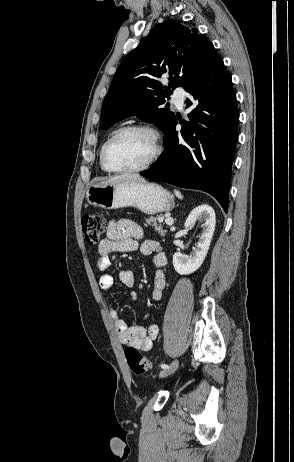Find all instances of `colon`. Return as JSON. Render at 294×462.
Segmentation results:
<instances>
[{
  "mask_svg": "<svg viewBox=\"0 0 294 462\" xmlns=\"http://www.w3.org/2000/svg\"><path fill=\"white\" fill-rule=\"evenodd\" d=\"M106 220L98 215H86L82 218V229L86 241L95 245L99 242L101 235L105 231ZM125 356L130 369L136 374H144L150 369V361L144 357L137 349L128 348Z\"/></svg>",
  "mask_w": 294,
  "mask_h": 462,
  "instance_id": "obj_1",
  "label": "colon"
}]
</instances>
